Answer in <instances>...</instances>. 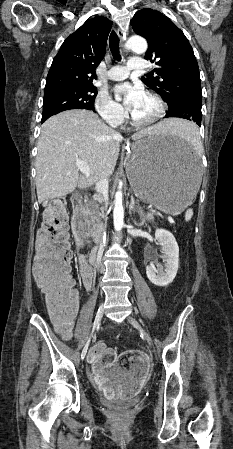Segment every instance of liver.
Masks as SVG:
<instances>
[{"instance_id": "1", "label": "liver", "mask_w": 233, "mask_h": 449, "mask_svg": "<svg viewBox=\"0 0 233 449\" xmlns=\"http://www.w3.org/2000/svg\"><path fill=\"white\" fill-rule=\"evenodd\" d=\"M181 123L179 119H165L135 133L132 139L156 133L174 134ZM122 139L92 111L68 110L50 117L42 125L38 140V202L66 196L77 187H89L102 178L110 177ZM77 160L89 166V176L79 174Z\"/></svg>"}]
</instances>
